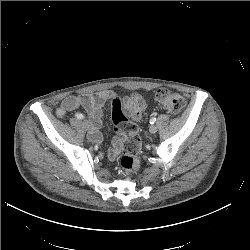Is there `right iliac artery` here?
I'll list each match as a JSON object with an SVG mask.
<instances>
[{
    "instance_id": "obj_1",
    "label": "right iliac artery",
    "mask_w": 250,
    "mask_h": 250,
    "mask_svg": "<svg viewBox=\"0 0 250 250\" xmlns=\"http://www.w3.org/2000/svg\"><path fill=\"white\" fill-rule=\"evenodd\" d=\"M75 117H76L77 119H83V118H84V115H83V114H80V113H77V114H75Z\"/></svg>"
}]
</instances>
